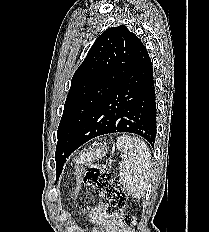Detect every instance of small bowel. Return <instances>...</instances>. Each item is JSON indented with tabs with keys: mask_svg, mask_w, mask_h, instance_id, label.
<instances>
[{
	"mask_svg": "<svg viewBox=\"0 0 209 232\" xmlns=\"http://www.w3.org/2000/svg\"><path fill=\"white\" fill-rule=\"evenodd\" d=\"M87 216L90 222L98 226L93 232H130L121 222L109 216L105 204H100L89 209Z\"/></svg>",
	"mask_w": 209,
	"mask_h": 232,
	"instance_id": "1",
	"label": "small bowel"
}]
</instances>
